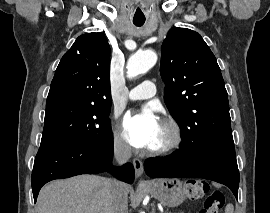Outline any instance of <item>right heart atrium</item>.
Returning a JSON list of instances; mask_svg holds the SVG:
<instances>
[{"label": "right heart atrium", "instance_id": "obj_1", "mask_svg": "<svg viewBox=\"0 0 270 213\" xmlns=\"http://www.w3.org/2000/svg\"><path fill=\"white\" fill-rule=\"evenodd\" d=\"M112 148L114 152L120 156H127L129 154V147L124 142L118 129H114L112 133Z\"/></svg>", "mask_w": 270, "mask_h": 213}]
</instances>
